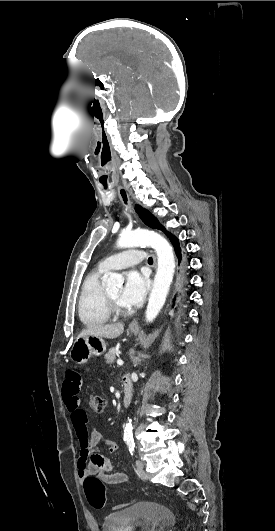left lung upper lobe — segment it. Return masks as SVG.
<instances>
[{
  "label": "left lung upper lobe",
  "mask_w": 275,
  "mask_h": 531,
  "mask_svg": "<svg viewBox=\"0 0 275 531\" xmlns=\"http://www.w3.org/2000/svg\"><path fill=\"white\" fill-rule=\"evenodd\" d=\"M136 212L139 214L142 221L151 228H156L161 231H164L165 228L158 222V220L146 209H143L141 206H135Z\"/></svg>",
  "instance_id": "1"
}]
</instances>
